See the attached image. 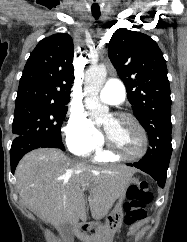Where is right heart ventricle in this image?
Here are the masks:
<instances>
[{
  "instance_id": "right-heart-ventricle-1",
  "label": "right heart ventricle",
  "mask_w": 187,
  "mask_h": 242,
  "mask_svg": "<svg viewBox=\"0 0 187 242\" xmlns=\"http://www.w3.org/2000/svg\"><path fill=\"white\" fill-rule=\"evenodd\" d=\"M95 160L98 162H113L116 161L117 158L109 155L104 149L99 148L97 149Z\"/></svg>"
}]
</instances>
